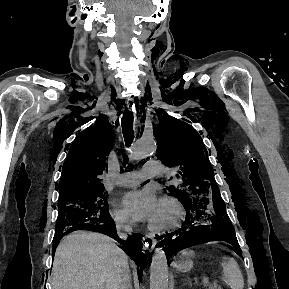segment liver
Returning <instances> with one entry per match:
<instances>
[{
  "instance_id": "liver-1",
  "label": "liver",
  "mask_w": 289,
  "mask_h": 289,
  "mask_svg": "<svg viewBox=\"0 0 289 289\" xmlns=\"http://www.w3.org/2000/svg\"><path fill=\"white\" fill-rule=\"evenodd\" d=\"M128 257L104 235L79 231L57 246L52 289H119Z\"/></svg>"
}]
</instances>
